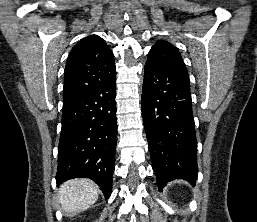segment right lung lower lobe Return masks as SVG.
<instances>
[{
    "mask_svg": "<svg viewBox=\"0 0 257 222\" xmlns=\"http://www.w3.org/2000/svg\"><path fill=\"white\" fill-rule=\"evenodd\" d=\"M115 97L116 70L95 88L63 102L57 184L87 177L109 198L117 142Z\"/></svg>",
    "mask_w": 257,
    "mask_h": 222,
    "instance_id": "98d812e1",
    "label": "right lung lower lobe"
}]
</instances>
